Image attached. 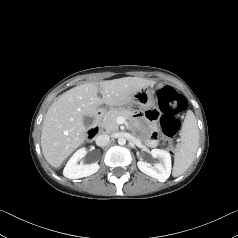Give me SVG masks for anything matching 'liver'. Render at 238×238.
I'll list each match as a JSON object with an SVG mask.
<instances>
[{
  "instance_id": "6515ba94",
  "label": "liver",
  "mask_w": 238,
  "mask_h": 238,
  "mask_svg": "<svg viewBox=\"0 0 238 238\" xmlns=\"http://www.w3.org/2000/svg\"><path fill=\"white\" fill-rule=\"evenodd\" d=\"M156 82L124 77L74 87L54 101L44 117L41 148L46 161L59 167L87 138L85 116L94 117L99 106L120 107L131 103L134 95ZM98 93L102 98L98 97Z\"/></svg>"
}]
</instances>
